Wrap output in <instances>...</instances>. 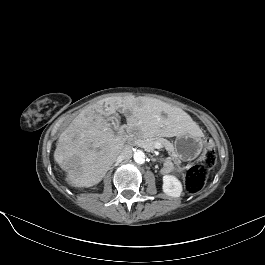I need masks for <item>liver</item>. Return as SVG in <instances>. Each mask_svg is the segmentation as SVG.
I'll list each match as a JSON object with an SVG mask.
<instances>
[{
  "mask_svg": "<svg viewBox=\"0 0 265 265\" xmlns=\"http://www.w3.org/2000/svg\"><path fill=\"white\" fill-rule=\"evenodd\" d=\"M117 111L126 115L129 126H137L151 136H202L199 126L185 111L159 99H102L84 108L59 136L54 160L67 172L70 185L98 184L121 153L125 140L114 134L106 118Z\"/></svg>",
  "mask_w": 265,
  "mask_h": 265,
  "instance_id": "liver-1",
  "label": "liver"
}]
</instances>
